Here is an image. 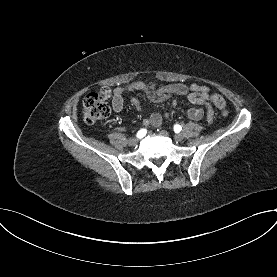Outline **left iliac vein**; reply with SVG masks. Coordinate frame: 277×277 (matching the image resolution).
Segmentation results:
<instances>
[{
	"label": "left iliac vein",
	"instance_id": "1",
	"mask_svg": "<svg viewBox=\"0 0 277 277\" xmlns=\"http://www.w3.org/2000/svg\"><path fill=\"white\" fill-rule=\"evenodd\" d=\"M163 134H166L165 132H163ZM174 139L176 141H182L183 140V135L182 134H175L174 135Z\"/></svg>",
	"mask_w": 277,
	"mask_h": 277
}]
</instances>
